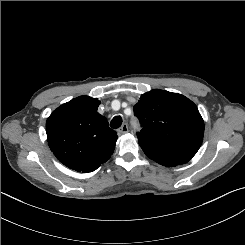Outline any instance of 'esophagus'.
<instances>
[{
    "label": "esophagus",
    "mask_w": 245,
    "mask_h": 245,
    "mask_svg": "<svg viewBox=\"0 0 245 245\" xmlns=\"http://www.w3.org/2000/svg\"><path fill=\"white\" fill-rule=\"evenodd\" d=\"M128 132V126L127 124H123L119 129H118V133L119 134H125Z\"/></svg>",
    "instance_id": "34e87169"
}]
</instances>
